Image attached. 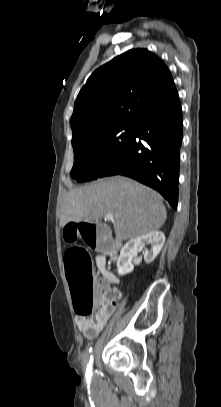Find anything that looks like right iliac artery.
<instances>
[{
    "label": "right iliac artery",
    "mask_w": 221,
    "mask_h": 407,
    "mask_svg": "<svg viewBox=\"0 0 221 407\" xmlns=\"http://www.w3.org/2000/svg\"><path fill=\"white\" fill-rule=\"evenodd\" d=\"M92 364H93V356H90V360L89 363L87 365V369H86V379L90 380L91 376H92Z\"/></svg>",
    "instance_id": "1"
}]
</instances>
